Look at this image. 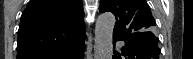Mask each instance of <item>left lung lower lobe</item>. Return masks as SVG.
Listing matches in <instances>:
<instances>
[{"instance_id":"0a47b994","label":"left lung lower lobe","mask_w":193,"mask_h":59,"mask_svg":"<svg viewBox=\"0 0 193 59\" xmlns=\"http://www.w3.org/2000/svg\"><path fill=\"white\" fill-rule=\"evenodd\" d=\"M113 40H123L126 47L122 50V55L129 56V59H159L160 49L158 48V38L153 35L137 37L131 34L122 38L113 34ZM127 50V51H126ZM120 53L113 56V59H121Z\"/></svg>"}]
</instances>
